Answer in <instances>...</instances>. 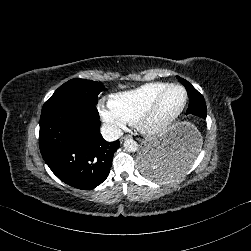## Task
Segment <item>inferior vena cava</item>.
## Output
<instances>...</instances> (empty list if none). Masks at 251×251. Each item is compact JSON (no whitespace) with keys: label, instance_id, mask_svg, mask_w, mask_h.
I'll return each mask as SVG.
<instances>
[{"label":"inferior vena cava","instance_id":"602c4592","mask_svg":"<svg viewBox=\"0 0 251 251\" xmlns=\"http://www.w3.org/2000/svg\"><path fill=\"white\" fill-rule=\"evenodd\" d=\"M100 131L102 137L108 142L116 141L123 135V131L114 124L104 123Z\"/></svg>","mask_w":251,"mask_h":251}]
</instances>
